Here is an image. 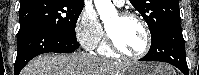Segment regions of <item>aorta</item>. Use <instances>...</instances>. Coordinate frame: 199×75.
<instances>
[{
	"label": "aorta",
	"mask_w": 199,
	"mask_h": 75,
	"mask_svg": "<svg viewBox=\"0 0 199 75\" xmlns=\"http://www.w3.org/2000/svg\"><path fill=\"white\" fill-rule=\"evenodd\" d=\"M94 3L102 21L117 16V10L111 0H94Z\"/></svg>",
	"instance_id": "1"
}]
</instances>
